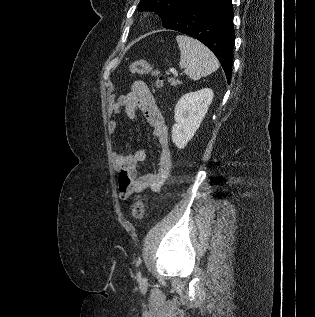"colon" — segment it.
<instances>
[{"label": "colon", "mask_w": 315, "mask_h": 317, "mask_svg": "<svg viewBox=\"0 0 315 317\" xmlns=\"http://www.w3.org/2000/svg\"><path fill=\"white\" fill-rule=\"evenodd\" d=\"M130 71L133 74L149 75L155 79V86L159 89L163 86V77L160 72L146 60H136L130 65ZM145 213V203L139 199L132 207V217L141 220Z\"/></svg>", "instance_id": "colon-1"}]
</instances>
